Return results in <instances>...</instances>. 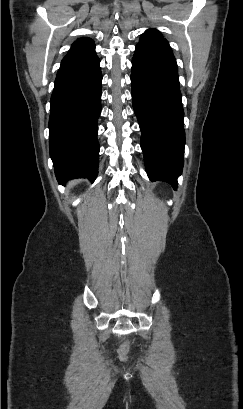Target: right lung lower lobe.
Returning a JSON list of instances; mask_svg holds the SVG:
<instances>
[{
	"label": "right lung lower lobe",
	"mask_w": 243,
	"mask_h": 409,
	"mask_svg": "<svg viewBox=\"0 0 243 409\" xmlns=\"http://www.w3.org/2000/svg\"><path fill=\"white\" fill-rule=\"evenodd\" d=\"M95 45L67 55L50 100V157L59 182L98 174L102 74Z\"/></svg>",
	"instance_id": "obj_1"
}]
</instances>
